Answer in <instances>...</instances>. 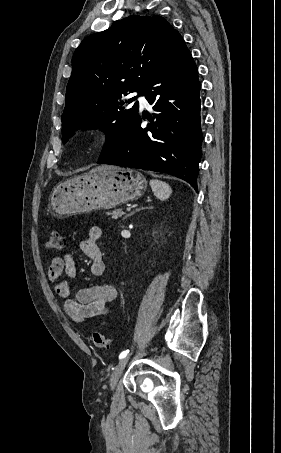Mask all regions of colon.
Here are the masks:
<instances>
[{
	"mask_svg": "<svg viewBox=\"0 0 281 453\" xmlns=\"http://www.w3.org/2000/svg\"><path fill=\"white\" fill-rule=\"evenodd\" d=\"M46 250L59 252L62 250V233L60 230H52L46 243ZM93 345L96 349H106L109 345V337L102 333L93 334Z\"/></svg>",
	"mask_w": 281,
	"mask_h": 453,
	"instance_id": "colon-1",
	"label": "colon"
}]
</instances>
